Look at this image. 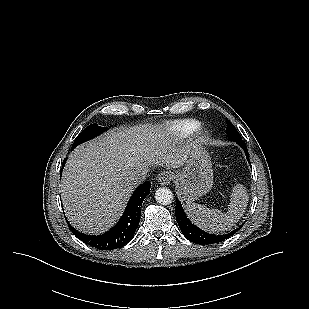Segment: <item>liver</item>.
<instances>
[{
    "mask_svg": "<svg viewBox=\"0 0 309 309\" xmlns=\"http://www.w3.org/2000/svg\"><path fill=\"white\" fill-rule=\"evenodd\" d=\"M188 146L177 147L159 125L105 133L78 146L64 167L61 197L66 216L80 231L100 234L122 215L137 184L132 173L166 164L178 168Z\"/></svg>",
    "mask_w": 309,
    "mask_h": 309,
    "instance_id": "6515ba94",
    "label": "liver"
}]
</instances>
